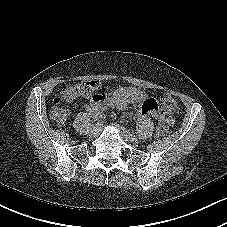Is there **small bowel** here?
Segmentation results:
<instances>
[{
  "label": "small bowel",
  "mask_w": 227,
  "mask_h": 227,
  "mask_svg": "<svg viewBox=\"0 0 227 227\" xmlns=\"http://www.w3.org/2000/svg\"><path fill=\"white\" fill-rule=\"evenodd\" d=\"M130 104L138 105L140 117L153 116L157 120L165 121L166 113L158 106L156 101L148 96L147 93L134 87H120L116 89L111 97L93 99L87 106L88 112L92 117L110 107L125 109Z\"/></svg>",
  "instance_id": "c3829d8e"
}]
</instances>
